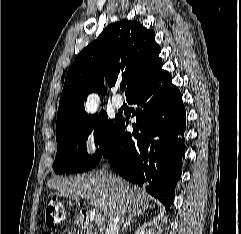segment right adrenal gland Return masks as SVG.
I'll list each match as a JSON object with an SVG mask.
<instances>
[{"label":"right adrenal gland","instance_id":"2a0ac1e0","mask_svg":"<svg viewBox=\"0 0 241 234\" xmlns=\"http://www.w3.org/2000/svg\"><path fill=\"white\" fill-rule=\"evenodd\" d=\"M142 214V212H137V213H131L128 215L126 220L123 222L121 230L124 231L128 227H131V223L134 222L135 217H139Z\"/></svg>","mask_w":241,"mask_h":234}]
</instances>
